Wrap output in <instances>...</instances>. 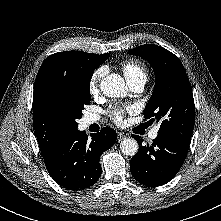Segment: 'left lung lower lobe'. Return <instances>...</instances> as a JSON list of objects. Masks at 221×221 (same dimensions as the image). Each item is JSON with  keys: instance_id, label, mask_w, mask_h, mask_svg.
<instances>
[{"instance_id": "0a47b994", "label": "left lung lower lobe", "mask_w": 221, "mask_h": 221, "mask_svg": "<svg viewBox=\"0 0 221 221\" xmlns=\"http://www.w3.org/2000/svg\"><path fill=\"white\" fill-rule=\"evenodd\" d=\"M139 151L130 161L131 173L141 184L151 187L168 183L180 170L189 150V143L158 134L152 145L142 146L139 136H132Z\"/></svg>"}]
</instances>
